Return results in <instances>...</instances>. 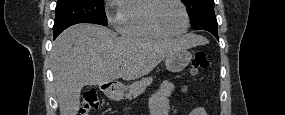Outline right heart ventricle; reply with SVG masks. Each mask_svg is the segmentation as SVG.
<instances>
[{"mask_svg":"<svg viewBox=\"0 0 285 115\" xmlns=\"http://www.w3.org/2000/svg\"><path fill=\"white\" fill-rule=\"evenodd\" d=\"M155 0H129L120 3L116 16L118 31L128 37L162 39L149 21V13Z\"/></svg>","mask_w":285,"mask_h":115,"instance_id":"right-heart-ventricle-1","label":"right heart ventricle"}]
</instances>
